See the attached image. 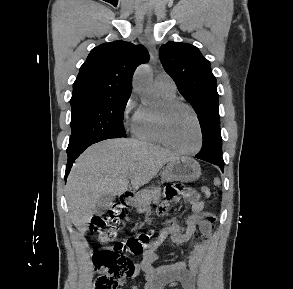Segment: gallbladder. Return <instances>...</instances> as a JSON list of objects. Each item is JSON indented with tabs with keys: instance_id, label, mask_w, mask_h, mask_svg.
<instances>
[{
	"instance_id": "bac80fb5",
	"label": "gallbladder",
	"mask_w": 293,
	"mask_h": 289,
	"mask_svg": "<svg viewBox=\"0 0 293 289\" xmlns=\"http://www.w3.org/2000/svg\"><path fill=\"white\" fill-rule=\"evenodd\" d=\"M114 199V196L108 194L101 196L96 203L95 214H104L105 211L111 206Z\"/></svg>"
}]
</instances>
